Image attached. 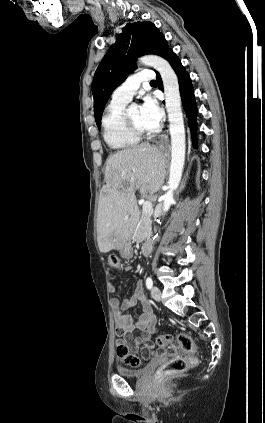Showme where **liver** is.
Here are the masks:
<instances>
[{"instance_id": "liver-1", "label": "liver", "mask_w": 265, "mask_h": 423, "mask_svg": "<svg viewBox=\"0 0 265 423\" xmlns=\"http://www.w3.org/2000/svg\"><path fill=\"white\" fill-rule=\"evenodd\" d=\"M165 157L150 143L122 149L106 161L105 188L98 207L97 242L100 252L119 249L128 240L138 217L135 193H157L165 179Z\"/></svg>"}]
</instances>
